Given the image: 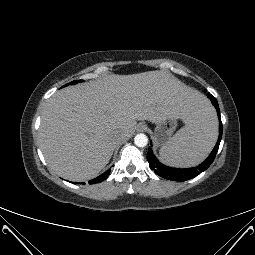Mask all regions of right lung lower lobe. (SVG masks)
<instances>
[{"label": "right lung lower lobe", "mask_w": 255, "mask_h": 255, "mask_svg": "<svg viewBox=\"0 0 255 255\" xmlns=\"http://www.w3.org/2000/svg\"><path fill=\"white\" fill-rule=\"evenodd\" d=\"M109 174H110V170H107L106 172L98 176L97 178L90 180L89 184H95V183L101 182L105 180ZM81 184H85V183H81Z\"/></svg>", "instance_id": "98d812e1"}]
</instances>
